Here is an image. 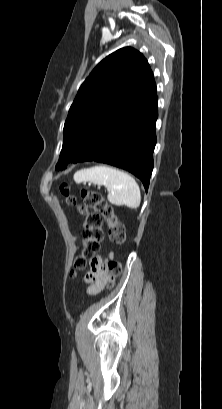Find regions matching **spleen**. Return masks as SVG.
Instances as JSON below:
<instances>
[{
    "label": "spleen",
    "instance_id": "1",
    "mask_svg": "<svg viewBox=\"0 0 222 409\" xmlns=\"http://www.w3.org/2000/svg\"><path fill=\"white\" fill-rule=\"evenodd\" d=\"M76 183L92 182L104 185L108 191V200L117 206H127L136 209L140 206V188L129 174L104 165L81 169L74 174Z\"/></svg>",
    "mask_w": 222,
    "mask_h": 409
}]
</instances>
